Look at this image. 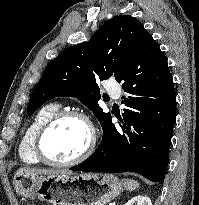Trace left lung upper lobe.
I'll use <instances>...</instances> for the list:
<instances>
[{
	"label": "left lung upper lobe",
	"instance_id": "1",
	"mask_svg": "<svg viewBox=\"0 0 199 205\" xmlns=\"http://www.w3.org/2000/svg\"><path fill=\"white\" fill-rule=\"evenodd\" d=\"M144 30L132 16H117L106 21L88 42L64 49L49 63L35 86L27 113L31 115L55 97L72 96L93 111L104 129L112 118L98 104L101 95L97 81L114 76L119 82Z\"/></svg>",
	"mask_w": 199,
	"mask_h": 205
}]
</instances>
